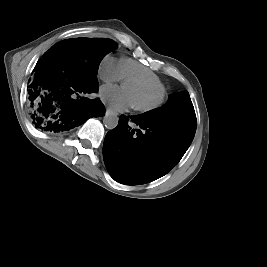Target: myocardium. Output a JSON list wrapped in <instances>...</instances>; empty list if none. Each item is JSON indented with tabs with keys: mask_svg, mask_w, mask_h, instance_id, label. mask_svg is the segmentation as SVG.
I'll return each mask as SVG.
<instances>
[{
	"mask_svg": "<svg viewBox=\"0 0 267 267\" xmlns=\"http://www.w3.org/2000/svg\"><path fill=\"white\" fill-rule=\"evenodd\" d=\"M127 82H137V83H142V84L148 85L152 89L156 90L158 93L157 98L149 104H146V105L133 104V108L135 110L140 111V112H148V111H152V110L158 108L163 103L164 98H165V90H163L161 88V86L156 85V84H152V83H150V82H148L142 78H139V77H131V78L127 79Z\"/></svg>",
	"mask_w": 267,
	"mask_h": 267,
	"instance_id": "obj_1",
	"label": "myocardium"
}]
</instances>
